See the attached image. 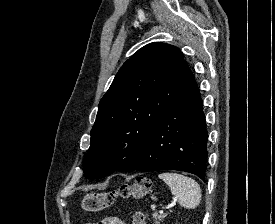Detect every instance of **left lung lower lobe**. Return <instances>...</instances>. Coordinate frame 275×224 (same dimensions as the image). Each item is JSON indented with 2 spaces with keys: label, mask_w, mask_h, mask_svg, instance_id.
I'll use <instances>...</instances> for the list:
<instances>
[{
  "label": "left lung lower lobe",
  "mask_w": 275,
  "mask_h": 224,
  "mask_svg": "<svg viewBox=\"0 0 275 224\" xmlns=\"http://www.w3.org/2000/svg\"><path fill=\"white\" fill-rule=\"evenodd\" d=\"M208 132L195 79L154 126L127 171L178 170L205 181Z\"/></svg>",
  "instance_id": "obj_1"
}]
</instances>
